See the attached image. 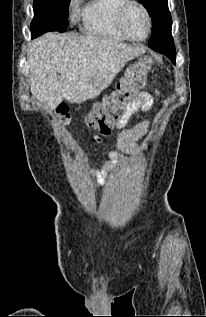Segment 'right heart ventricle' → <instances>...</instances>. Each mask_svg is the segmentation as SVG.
Wrapping results in <instances>:
<instances>
[{"label":"right heart ventricle","instance_id":"right-heart-ventricle-1","mask_svg":"<svg viewBox=\"0 0 206 317\" xmlns=\"http://www.w3.org/2000/svg\"><path fill=\"white\" fill-rule=\"evenodd\" d=\"M125 0H88L78 11L83 30L93 36L123 41L115 25V14Z\"/></svg>","mask_w":206,"mask_h":317}]
</instances>
